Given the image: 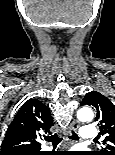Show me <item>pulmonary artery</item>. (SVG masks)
<instances>
[{"mask_svg": "<svg viewBox=\"0 0 115 155\" xmlns=\"http://www.w3.org/2000/svg\"><path fill=\"white\" fill-rule=\"evenodd\" d=\"M97 136V129L91 126H84L80 130V137L84 141H91Z\"/></svg>", "mask_w": 115, "mask_h": 155, "instance_id": "1", "label": "pulmonary artery"}]
</instances>
